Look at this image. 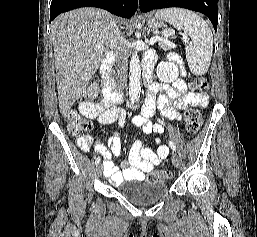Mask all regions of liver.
<instances>
[{
  "label": "liver",
  "instance_id": "1",
  "mask_svg": "<svg viewBox=\"0 0 257 237\" xmlns=\"http://www.w3.org/2000/svg\"><path fill=\"white\" fill-rule=\"evenodd\" d=\"M114 17L95 8L76 9L51 24L59 109L62 115L82 95L110 48Z\"/></svg>",
  "mask_w": 257,
  "mask_h": 237
}]
</instances>
